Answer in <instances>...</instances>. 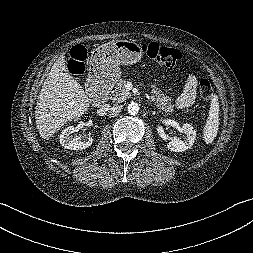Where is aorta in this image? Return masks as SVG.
Returning <instances> with one entry per match:
<instances>
[{
	"mask_svg": "<svg viewBox=\"0 0 253 253\" xmlns=\"http://www.w3.org/2000/svg\"><path fill=\"white\" fill-rule=\"evenodd\" d=\"M127 111L130 115H136L139 112V106L137 103L128 104Z\"/></svg>",
	"mask_w": 253,
	"mask_h": 253,
	"instance_id": "1",
	"label": "aorta"
}]
</instances>
